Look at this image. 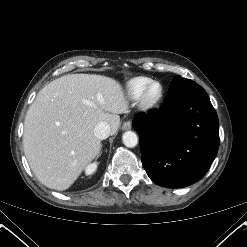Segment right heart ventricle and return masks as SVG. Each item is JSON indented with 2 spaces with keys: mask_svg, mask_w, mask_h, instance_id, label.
Listing matches in <instances>:
<instances>
[{
  "mask_svg": "<svg viewBox=\"0 0 247 247\" xmlns=\"http://www.w3.org/2000/svg\"><path fill=\"white\" fill-rule=\"evenodd\" d=\"M153 80L148 77H135L126 83V93L132 99L139 97L143 89Z\"/></svg>",
  "mask_w": 247,
  "mask_h": 247,
  "instance_id": "obj_1",
  "label": "right heart ventricle"
}]
</instances>
